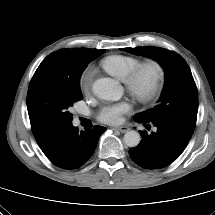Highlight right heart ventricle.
Masks as SVG:
<instances>
[{
  "label": "right heart ventricle",
  "instance_id": "obj_1",
  "mask_svg": "<svg viewBox=\"0 0 215 215\" xmlns=\"http://www.w3.org/2000/svg\"><path fill=\"white\" fill-rule=\"evenodd\" d=\"M140 62V59L132 55L113 54L102 59V68L114 76L124 81L130 71Z\"/></svg>",
  "mask_w": 215,
  "mask_h": 215
}]
</instances>
